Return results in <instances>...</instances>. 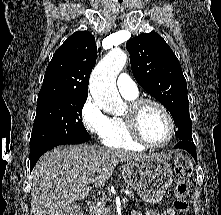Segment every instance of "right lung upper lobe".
<instances>
[{
    "mask_svg": "<svg viewBox=\"0 0 221 215\" xmlns=\"http://www.w3.org/2000/svg\"><path fill=\"white\" fill-rule=\"evenodd\" d=\"M94 36L77 31L54 53L38 94V102L58 97H87L90 73L97 58Z\"/></svg>",
    "mask_w": 221,
    "mask_h": 215,
    "instance_id": "cb5924a9",
    "label": "right lung upper lobe"
}]
</instances>
